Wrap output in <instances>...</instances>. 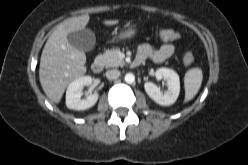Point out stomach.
I'll use <instances>...</instances> for the list:
<instances>
[{
	"mask_svg": "<svg viewBox=\"0 0 248 165\" xmlns=\"http://www.w3.org/2000/svg\"><path fill=\"white\" fill-rule=\"evenodd\" d=\"M136 33H137L136 28H133V27L128 28L119 34L117 40H124L128 38H132L133 36H135Z\"/></svg>",
	"mask_w": 248,
	"mask_h": 165,
	"instance_id": "stomach-1",
	"label": "stomach"
}]
</instances>
